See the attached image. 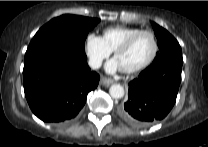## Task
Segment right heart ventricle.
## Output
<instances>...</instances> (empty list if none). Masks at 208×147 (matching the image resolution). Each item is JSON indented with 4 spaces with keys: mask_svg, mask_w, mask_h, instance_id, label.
<instances>
[{
    "mask_svg": "<svg viewBox=\"0 0 208 147\" xmlns=\"http://www.w3.org/2000/svg\"><path fill=\"white\" fill-rule=\"evenodd\" d=\"M141 29L131 26H113L106 28L103 39L111 51H115L127 38Z\"/></svg>",
    "mask_w": 208,
    "mask_h": 147,
    "instance_id": "right-heart-ventricle-1",
    "label": "right heart ventricle"
}]
</instances>
